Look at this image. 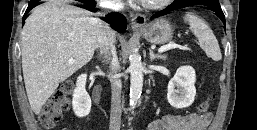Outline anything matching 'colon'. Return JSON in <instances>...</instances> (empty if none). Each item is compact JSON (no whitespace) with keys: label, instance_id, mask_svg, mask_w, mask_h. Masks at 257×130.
<instances>
[{"label":"colon","instance_id":"1","mask_svg":"<svg viewBox=\"0 0 257 130\" xmlns=\"http://www.w3.org/2000/svg\"><path fill=\"white\" fill-rule=\"evenodd\" d=\"M74 87L75 85L73 81H67L44 105L39 116L40 123L44 128H53L63 113L69 108L70 95ZM213 99L214 95H209L199 104L198 111L202 114H205L208 111Z\"/></svg>","mask_w":257,"mask_h":130}]
</instances>
